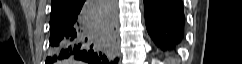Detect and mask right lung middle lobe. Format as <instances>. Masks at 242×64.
<instances>
[{
    "instance_id": "obj_1",
    "label": "right lung middle lobe",
    "mask_w": 242,
    "mask_h": 64,
    "mask_svg": "<svg viewBox=\"0 0 242 64\" xmlns=\"http://www.w3.org/2000/svg\"><path fill=\"white\" fill-rule=\"evenodd\" d=\"M59 15H54V14H51V20H50V23L56 19Z\"/></svg>"
}]
</instances>
